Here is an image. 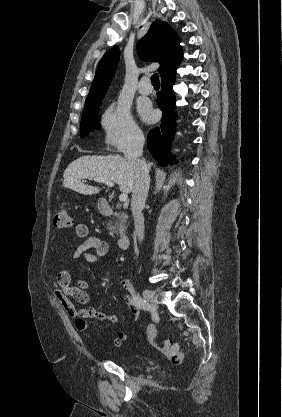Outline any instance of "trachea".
Wrapping results in <instances>:
<instances>
[{
	"label": "trachea",
	"instance_id": "3493384b",
	"mask_svg": "<svg viewBox=\"0 0 282 417\" xmlns=\"http://www.w3.org/2000/svg\"><path fill=\"white\" fill-rule=\"evenodd\" d=\"M151 82L153 87H160V81L157 73H153L151 76Z\"/></svg>",
	"mask_w": 282,
	"mask_h": 417
}]
</instances>
